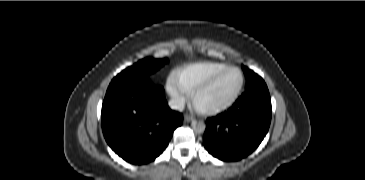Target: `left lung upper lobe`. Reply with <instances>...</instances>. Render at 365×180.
<instances>
[{
	"label": "left lung upper lobe",
	"instance_id": "5c2ea615",
	"mask_svg": "<svg viewBox=\"0 0 365 180\" xmlns=\"http://www.w3.org/2000/svg\"><path fill=\"white\" fill-rule=\"evenodd\" d=\"M245 76H246V89H249L255 85L264 83V80L254 73L252 70L248 69L247 67H242Z\"/></svg>",
	"mask_w": 365,
	"mask_h": 180
}]
</instances>
